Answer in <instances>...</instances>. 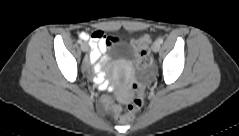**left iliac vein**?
<instances>
[{
    "instance_id": "obj_1",
    "label": "left iliac vein",
    "mask_w": 239,
    "mask_h": 136,
    "mask_svg": "<svg viewBox=\"0 0 239 136\" xmlns=\"http://www.w3.org/2000/svg\"><path fill=\"white\" fill-rule=\"evenodd\" d=\"M152 50L158 52L160 50V43L158 41L154 42L152 45Z\"/></svg>"
}]
</instances>
